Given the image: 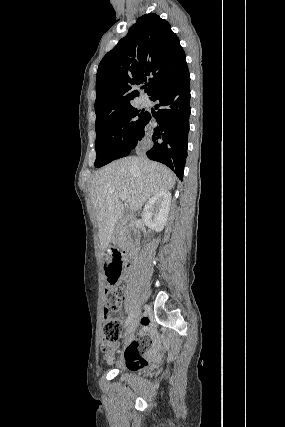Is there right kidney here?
<instances>
[{"label":"right kidney","mask_w":285,"mask_h":427,"mask_svg":"<svg viewBox=\"0 0 285 427\" xmlns=\"http://www.w3.org/2000/svg\"><path fill=\"white\" fill-rule=\"evenodd\" d=\"M171 194L160 191L149 199L144 207L142 219L146 226L156 232H161L166 224L170 211Z\"/></svg>","instance_id":"1"}]
</instances>
